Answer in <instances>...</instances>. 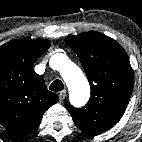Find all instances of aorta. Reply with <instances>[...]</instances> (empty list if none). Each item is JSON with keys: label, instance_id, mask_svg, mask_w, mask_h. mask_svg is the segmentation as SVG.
Instances as JSON below:
<instances>
[{"label": "aorta", "instance_id": "obj_1", "mask_svg": "<svg viewBox=\"0 0 142 142\" xmlns=\"http://www.w3.org/2000/svg\"><path fill=\"white\" fill-rule=\"evenodd\" d=\"M51 64L66 82L71 102L76 106L85 105L90 97V86L81 69L61 53L52 57Z\"/></svg>", "mask_w": 142, "mask_h": 142}]
</instances>
